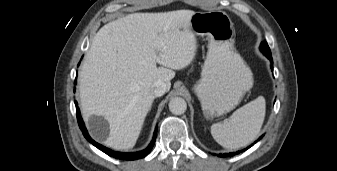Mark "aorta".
<instances>
[{
	"label": "aorta",
	"instance_id": "aorta-1",
	"mask_svg": "<svg viewBox=\"0 0 337 171\" xmlns=\"http://www.w3.org/2000/svg\"><path fill=\"white\" fill-rule=\"evenodd\" d=\"M187 109L186 101L180 97H174L169 102V110L172 114L181 115Z\"/></svg>",
	"mask_w": 337,
	"mask_h": 171
}]
</instances>
